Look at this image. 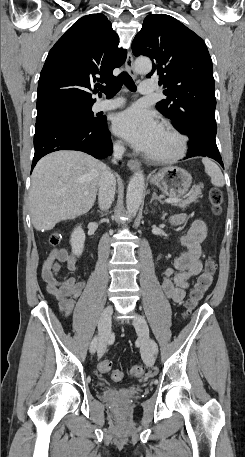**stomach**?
I'll list each match as a JSON object with an SVG mask.
<instances>
[{
    "mask_svg": "<svg viewBox=\"0 0 245 457\" xmlns=\"http://www.w3.org/2000/svg\"><path fill=\"white\" fill-rule=\"evenodd\" d=\"M150 182L156 184L164 194L177 198L187 192L192 182V176L188 170L180 168V166H164L153 174Z\"/></svg>",
    "mask_w": 245,
    "mask_h": 457,
    "instance_id": "1",
    "label": "stomach"
}]
</instances>
